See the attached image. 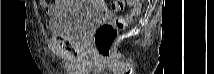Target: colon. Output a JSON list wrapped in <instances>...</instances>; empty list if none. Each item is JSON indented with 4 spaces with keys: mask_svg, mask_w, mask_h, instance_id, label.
Instances as JSON below:
<instances>
[{
    "mask_svg": "<svg viewBox=\"0 0 214 74\" xmlns=\"http://www.w3.org/2000/svg\"><path fill=\"white\" fill-rule=\"evenodd\" d=\"M131 10L125 16H118L112 22L101 24L93 35V45L98 54L102 57H109L112 52V45L118 31L124 30L141 12L142 2L139 0H128ZM125 1H112L111 10L120 11Z\"/></svg>",
    "mask_w": 214,
    "mask_h": 74,
    "instance_id": "obj_1",
    "label": "colon"
}]
</instances>
